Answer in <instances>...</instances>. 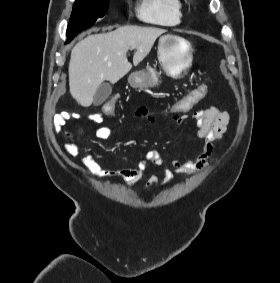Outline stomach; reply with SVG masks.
<instances>
[{
	"label": "stomach",
	"instance_id": "0dacf381",
	"mask_svg": "<svg viewBox=\"0 0 280 283\" xmlns=\"http://www.w3.org/2000/svg\"><path fill=\"white\" fill-rule=\"evenodd\" d=\"M193 49L185 38L166 34L160 37L158 43V60L164 72L174 79L183 78L192 66ZM160 74L155 69H146L133 72L128 82L133 87L148 88L160 83Z\"/></svg>",
	"mask_w": 280,
	"mask_h": 283
}]
</instances>
